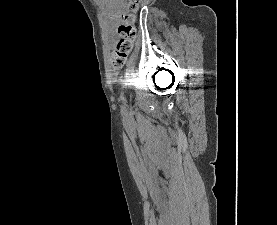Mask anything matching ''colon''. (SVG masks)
I'll use <instances>...</instances> for the list:
<instances>
[{
	"label": "colon",
	"mask_w": 277,
	"mask_h": 225,
	"mask_svg": "<svg viewBox=\"0 0 277 225\" xmlns=\"http://www.w3.org/2000/svg\"><path fill=\"white\" fill-rule=\"evenodd\" d=\"M141 2L142 0H127L129 10L120 16L121 24L118 28L119 40L111 55V64L114 68H122L132 51L137 34L135 13Z\"/></svg>",
	"instance_id": "obj_1"
}]
</instances>
